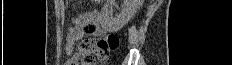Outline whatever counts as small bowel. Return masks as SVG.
Wrapping results in <instances>:
<instances>
[{"label":"small bowel","instance_id":"small-bowel-1","mask_svg":"<svg viewBox=\"0 0 232 65\" xmlns=\"http://www.w3.org/2000/svg\"><path fill=\"white\" fill-rule=\"evenodd\" d=\"M85 34L93 36L103 34L97 13L91 12L84 14L77 20L74 29L68 34L65 43V51L68 57L66 65H91L84 60L80 51L74 54L75 45L83 39Z\"/></svg>","mask_w":232,"mask_h":65}]
</instances>
